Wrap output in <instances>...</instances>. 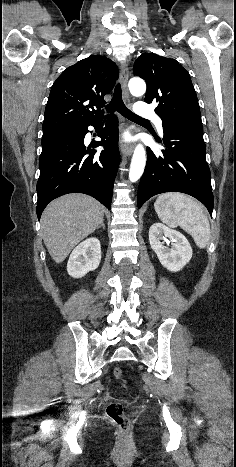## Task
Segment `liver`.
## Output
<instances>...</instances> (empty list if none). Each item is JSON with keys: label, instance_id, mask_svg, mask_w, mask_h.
<instances>
[{"label": "liver", "instance_id": "6515ba94", "mask_svg": "<svg viewBox=\"0 0 236 467\" xmlns=\"http://www.w3.org/2000/svg\"><path fill=\"white\" fill-rule=\"evenodd\" d=\"M104 207L85 194H67L53 200L41 217L44 244L56 263L102 223Z\"/></svg>", "mask_w": 236, "mask_h": 467}]
</instances>
